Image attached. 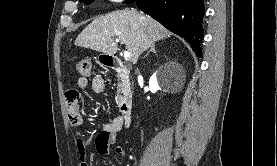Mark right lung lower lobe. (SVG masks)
I'll return each mask as SVG.
<instances>
[{
	"label": "right lung lower lobe",
	"mask_w": 277,
	"mask_h": 166,
	"mask_svg": "<svg viewBox=\"0 0 277 166\" xmlns=\"http://www.w3.org/2000/svg\"><path fill=\"white\" fill-rule=\"evenodd\" d=\"M134 2L140 10L187 40L201 57L204 0H128L126 3Z\"/></svg>",
	"instance_id": "right-lung-lower-lobe-1"
}]
</instances>
